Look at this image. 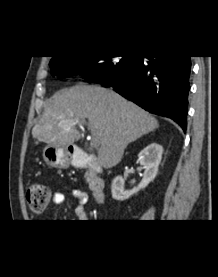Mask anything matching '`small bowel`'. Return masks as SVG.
<instances>
[{
  "mask_svg": "<svg viewBox=\"0 0 218 277\" xmlns=\"http://www.w3.org/2000/svg\"><path fill=\"white\" fill-rule=\"evenodd\" d=\"M66 197H69L77 202L75 214L79 220H85L87 218L85 210V206L88 203L87 194L79 189H69L66 194L62 192H55L52 195V203L55 206H61L65 202Z\"/></svg>",
  "mask_w": 218,
  "mask_h": 277,
  "instance_id": "1",
  "label": "small bowel"
}]
</instances>
